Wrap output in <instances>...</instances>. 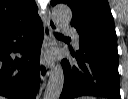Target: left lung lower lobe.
Listing matches in <instances>:
<instances>
[{"label": "left lung lower lobe", "instance_id": "0a47b994", "mask_svg": "<svg viewBox=\"0 0 128 99\" xmlns=\"http://www.w3.org/2000/svg\"><path fill=\"white\" fill-rule=\"evenodd\" d=\"M79 50L71 51L77 63L62 61L64 86L60 99L99 96L121 99L117 37L101 31H78Z\"/></svg>", "mask_w": 128, "mask_h": 99}]
</instances>
